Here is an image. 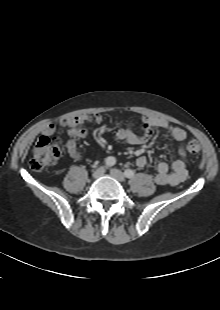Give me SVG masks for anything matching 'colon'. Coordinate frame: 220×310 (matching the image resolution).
<instances>
[{
	"mask_svg": "<svg viewBox=\"0 0 220 310\" xmlns=\"http://www.w3.org/2000/svg\"><path fill=\"white\" fill-rule=\"evenodd\" d=\"M186 152L196 155L201 151L199 143L195 140L187 142ZM60 157V141L48 136H42L36 142L29 165L34 170H42L54 165Z\"/></svg>",
	"mask_w": 220,
	"mask_h": 310,
	"instance_id": "1",
	"label": "colon"
}]
</instances>
